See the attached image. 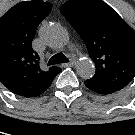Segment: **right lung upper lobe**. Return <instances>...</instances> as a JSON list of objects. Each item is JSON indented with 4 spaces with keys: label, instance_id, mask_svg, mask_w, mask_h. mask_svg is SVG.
<instances>
[{
    "label": "right lung upper lobe",
    "instance_id": "1",
    "mask_svg": "<svg viewBox=\"0 0 135 135\" xmlns=\"http://www.w3.org/2000/svg\"><path fill=\"white\" fill-rule=\"evenodd\" d=\"M42 0L23 1L0 18V82L12 93L36 97L46 91L61 71H43L31 43L38 24L51 11Z\"/></svg>",
    "mask_w": 135,
    "mask_h": 135
}]
</instances>
